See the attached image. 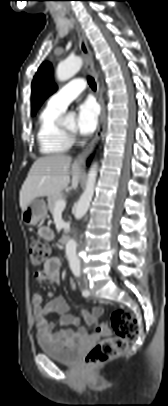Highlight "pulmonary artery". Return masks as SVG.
Returning <instances> with one entry per match:
<instances>
[{"label":"pulmonary artery","mask_w":168,"mask_h":406,"mask_svg":"<svg viewBox=\"0 0 168 406\" xmlns=\"http://www.w3.org/2000/svg\"><path fill=\"white\" fill-rule=\"evenodd\" d=\"M86 87V82L77 78L59 89L48 100L47 105L50 107L65 110L68 104L73 101Z\"/></svg>","instance_id":"pulmonary-artery-1"}]
</instances>
